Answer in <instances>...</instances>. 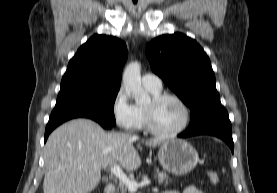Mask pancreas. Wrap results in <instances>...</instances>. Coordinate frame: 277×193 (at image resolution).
I'll return each instance as SVG.
<instances>
[{
	"label": "pancreas",
	"mask_w": 277,
	"mask_h": 193,
	"mask_svg": "<svg viewBox=\"0 0 277 193\" xmlns=\"http://www.w3.org/2000/svg\"><path fill=\"white\" fill-rule=\"evenodd\" d=\"M141 174H139V177ZM156 178L158 179L159 184H165L167 185L169 183V176L166 174V172H160L157 171V176ZM127 187L123 184L120 183L117 189L118 193H127Z\"/></svg>",
	"instance_id": "cf45deb5"
}]
</instances>
